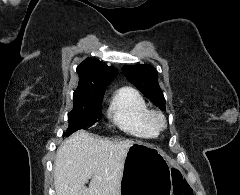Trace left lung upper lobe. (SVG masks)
Here are the masks:
<instances>
[{
    "mask_svg": "<svg viewBox=\"0 0 240 195\" xmlns=\"http://www.w3.org/2000/svg\"><path fill=\"white\" fill-rule=\"evenodd\" d=\"M126 78L134 84L140 92L149 98L161 110L165 108V98L158 83L156 69L148 64L126 65L122 68Z\"/></svg>",
    "mask_w": 240,
    "mask_h": 195,
    "instance_id": "left-lung-upper-lobe-1",
    "label": "left lung upper lobe"
}]
</instances>
